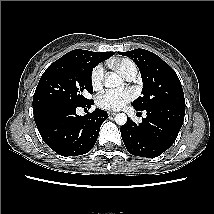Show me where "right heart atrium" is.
I'll return each instance as SVG.
<instances>
[{
    "label": "right heart atrium",
    "instance_id": "obj_1",
    "mask_svg": "<svg viewBox=\"0 0 214 214\" xmlns=\"http://www.w3.org/2000/svg\"><path fill=\"white\" fill-rule=\"evenodd\" d=\"M90 82L94 90L102 87L104 82V67L101 64L96 65L91 71Z\"/></svg>",
    "mask_w": 214,
    "mask_h": 214
}]
</instances>
